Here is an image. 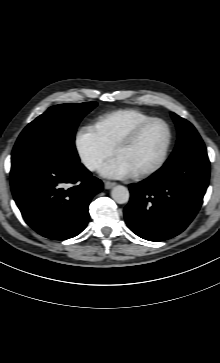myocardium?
<instances>
[{
    "label": "myocardium",
    "mask_w": 220,
    "mask_h": 363,
    "mask_svg": "<svg viewBox=\"0 0 220 363\" xmlns=\"http://www.w3.org/2000/svg\"><path fill=\"white\" fill-rule=\"evenodd\" d=\"M154 123H161L164 125V127L166 128L167 131V141L165 144V147L162 151V154L160 156V158L158 159V161L151 167L135 172L134 176L136 178H143V177H147L150 175L155 174L156 172H158L166 163L167 159H168V155L172 146V141H173V132H172V128L170 126V124L159 117H153L151 119H148L138 125H136L133 129H131L128 133H126L125 135H123L114 145L113 147V153L117 154V152L132 144L139 136L140 134L143 132L144 129H146L148 126L154 124Z\"/></svg>",
    "instance_id": "1"
}]
</instances>
